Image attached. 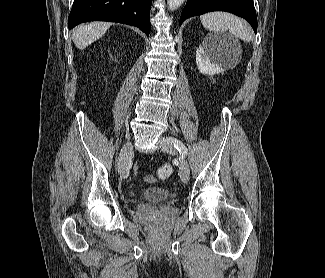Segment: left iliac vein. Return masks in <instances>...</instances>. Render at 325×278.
I'll return each mask as SVG.
<instances>
[{
	"label": "left iliac vein",
	"instance_id": "obj_1",
	"mask_svg": "<svg viewBox=\"0 0 325 278\" xmlns=\"http://www.w3.org/2000/svg\"><path fill=\"white\" fill-rule=\"evenodd\" d=\"M160 148L163 152L169 153V154H176V150L174 148L173 143L169 142L167 138H160L159 140ZM179 174L182 182L187 183L190 178V170L188 162L181 158L180 166H179Z\"/></svg>",
	"mask_w": 325,
	"mask_h": 278
}]
</instances>
